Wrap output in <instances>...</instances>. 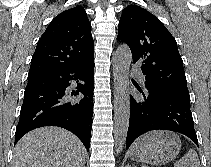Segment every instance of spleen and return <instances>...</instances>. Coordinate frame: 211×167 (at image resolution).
<instances>
[{
    "mask_svg": "<svg viewBox=\"0 0 211 167\" xmlns=\"http://www.w3.org/2000/svg\"><path fill=\"white\" fill-rule=\"evenodd\" d=\"M174 167H200L198 154L193 149H189L187 154L174 163Z\"/></svg>",
    "mask_w": 211,
    "mask_h": 167,
    "instance_id": "obj_1",
    "label": "spleen"
}]
</instances>
